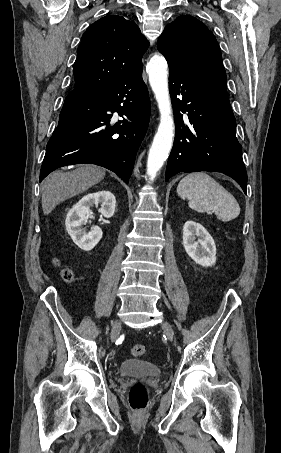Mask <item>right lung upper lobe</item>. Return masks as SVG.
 <instances>
[{"label":"right lung upper lobe","instance_id":"cb5924a9","mask_svg":"<svg viewBox=\"0 0 281 453\" xmlns=\"http://www.w3.org/2000/svg\"><path fill=\"white\" fill-rule=\"evenodd\" d=\"M149 43L130 19L107 15L83 34L73 65L74 88L113 84L142 64Z\"/></svg>","mask_w":281,"mask_h":453}]
</instances>
